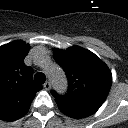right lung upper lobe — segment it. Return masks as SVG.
<instances>
[{
	"mask_svg": "<svg viewBox=\"0 0 128 128\" xmlns=\"http://www.w3.org/2000/svg\"><path fill=\"white\" fill-rule=\"evenodd\" d=\"M29 45L14 41L0 46V119L14 121L29 109L37 91L33 69L24 64Z\"/></svg>",
	"mask_w": 128,
	"mask_h": 128,
	"instance_id": "cb5924a9",
	"label": "right lung upper lobe"
}]
</instances>
